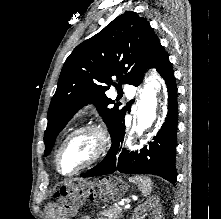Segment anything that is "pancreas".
Returning a JSON list of instances; mask_svg holds the SVG:
<instances>
[{
    "instance_id": "1",
    "label": "pancreas",
    "mask_w": 221,
    "mask_h": 219,
    "mask_svg": "<svg viewBox=\"0 0 221 219\" xmlns=\"http://www.w3.org/2000/svg\"><path fill=\"white\" fill-rule=\"evenodd\" d=\"M123 208L118 204H114L110 208L103 210L99 213L104 219H118L122 213Z\"/></svg>"
}]
</instances>
